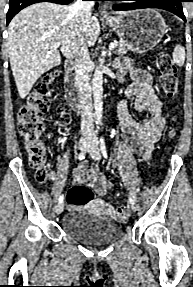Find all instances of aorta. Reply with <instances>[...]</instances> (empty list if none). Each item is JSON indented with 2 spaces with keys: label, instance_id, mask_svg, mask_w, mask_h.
Wrapping results in <instances>:
<instances>
[{
  "label": "aorta",
  "instance_id": "762f6f07",
  "mask_svg": "<svg viewBox=\"0 0 193 287\" xmlns=\"http://www.w3.org/2000/svg\"><path fill=\"white\" fill-rule=\"evenodd\" d=\"M92 91L94 98L95 116L97 123L101 122L103 112V72L100 68H97L94 72L92 79Z\"/></svg>",
  "mask_w": 193,
  "mask_h": 287
}]
</instances>
